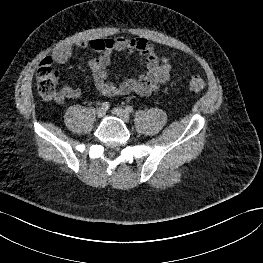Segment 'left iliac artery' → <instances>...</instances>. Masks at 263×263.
<instances>
[{"label": "left iliac artery", "mask_w": 263, "mask_h": 263, "mask_svg": "<svg viewBox=\"0 0 263 263\" xmlns=\"http://www.w3.org/2000/svg\"><path fill=\"white\" fill-rule=\"evenodd\" d=\"M125 110H126L128 113L133 112V108H132L131 106H129V105L125 107Z\"/></svg>", "instance_id": "left-iliac-artery-1"}]
</instances>
